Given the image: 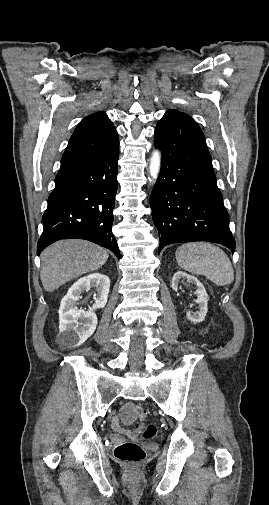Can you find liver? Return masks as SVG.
Segmentation results:
<instances>
[{
    "instance_id": "6515ba94",
    "label": "liver",
    "mask_w": 269,
    "mask_h": 505,
    "mask_svg": "<svg viewBox=\"0 0 269 505\" xmlns=\"http://www.w3.org/2000/svg\"><path fill=\"white\" fill-rule=\"evenodd\" d=\"M109 257L102 247L85 240H60L41 254L40 279L44 289L52 292L66 282L98 270Z\"/></svg>"
}]
</instances>
